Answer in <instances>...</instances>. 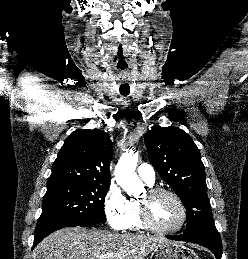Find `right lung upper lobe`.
Masks as SVG:
<instances>
[{
    "instance_id": "right-lung-upper-lobe-1",
    "label": "right lung upper lobe",
    "mask_w": 248,
    "mask_h": 259,
    "mask_svg": "<svg viewBox=\"0 0 248 259\" xmlns=\"http://www.w3.org/2000/svg\"><path fill=\"white\" fill-rule=\"evenodd\" d=\"M112 143L99 129H78L65 140L52 166L48 184L110 183Z\"/></svg>"
}]
</instances>
